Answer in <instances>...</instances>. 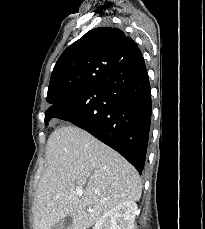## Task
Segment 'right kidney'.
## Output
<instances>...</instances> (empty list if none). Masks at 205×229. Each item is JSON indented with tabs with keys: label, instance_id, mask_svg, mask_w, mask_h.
Masks as SVG:
<instances>
[{
	"label": "right kidney",
	"instance_id": "1",
	"mask_svg": "<svg viewBox=\"0 0 205 229\" xmlns=\"http://www.w3.org/2000/svg\"><path fill=\"white\" fill-rule=\"evenodd\" d=\"M137 204L122 202L98 219L92 229H133Z\"/></svg>",
	"mask_w": 205,
	"mask_h": 229
}]
</instances>
